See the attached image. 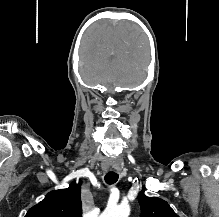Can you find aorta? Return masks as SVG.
Segmentation results:
<instances>
[{
  "mask_svg": "<svg viewBox=\"0 0 219 217\" xmlns=\"http://www.w3.org/2000/svg\"><path fill=\"white\" fill-rule=\"evenodd\" d=\"M129 214H130L129 205L121 204L116 207L106 208L100 217H128Z\"/></svg>",
  "mask_w": 219,
  "mask_h": 217,
  "instance_id": "762f6f07",
  "label": "aorta"
}]
</instances>
